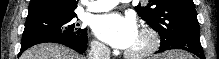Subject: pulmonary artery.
<instances>
[{
    "label": "pulmonary artery",
    "mask_w": 219,
    "mask_h": 59,
    "mask_svg": "<svg viewBox=\"0 0 219 59\" xmlns=\"http://www.w3.org/2000/svg\"><path fill=\"white\" fill-rule=\"evenodd\" d=\"M119 0H97L87 6V10L91 12H103L112 9Z\"/></svg>",
    "instance_id": "obj_1"
}]
</instances>
